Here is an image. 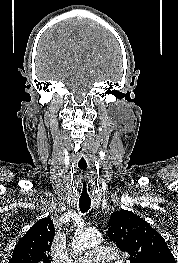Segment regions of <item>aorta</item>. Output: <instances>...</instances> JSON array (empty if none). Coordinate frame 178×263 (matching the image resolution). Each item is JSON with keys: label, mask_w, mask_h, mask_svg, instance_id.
Returning a JSON list of instances; mask_svg holds the SVG:
<instances>
[{"label": "aorta", "mask_w": 178, "mask_h": 263, "mask_svg": "<svg viewBox=\"0 0 178 263\" xmlns=\"http://www.w3.org/2000/svg\"><path fill=\"white\" fill-rule=\"evenodd\" d=\"M103 241L101 233L96 230L78 231L72 240V249L79 253L90 247L96 246Z\"/></svg>", "instance_id": "1"}]
</instances>
